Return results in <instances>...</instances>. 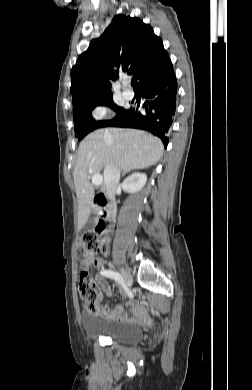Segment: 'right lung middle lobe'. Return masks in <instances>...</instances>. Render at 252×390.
Segmentation results:
<instances>
[{
	"mask_svg": "<svg viewBox=\"0 0 252 390\" xmlns=\"http://www.w3.org/2000/svg\"><path fill=\"white\" fill-rule=\"evenodd\" d=\"M112 98L113 96L105 97L102 99L88 102L73 109L75 136L79 140L84 138L89 132L95 129L106 127L114 119L126 112L124 108L114 104ZM96 106H108L117 112V116L114 119L108 121H96L91 115V111Z\"/></svg>",
	"mask_w": 252,
	"mask_h": 390,
	"instance_id": "dd1d6c3e",
	"label": "right lung middle lobe"
}]
</instances>
